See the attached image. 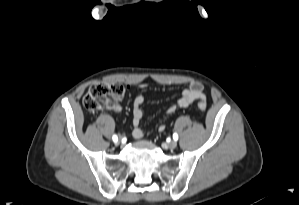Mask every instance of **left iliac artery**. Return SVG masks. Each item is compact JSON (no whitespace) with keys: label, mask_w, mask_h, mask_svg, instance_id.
<instances>
[{"label":"left iliac artery","mask_w":299,"mask_h":205,"mask_svg":"<svg viewBox=\"0 0 299 205\" xmlns=\"http://www.w3.org/2000/svg\"><path fill=\"white\" fill-rule=\"evenodd\" d=\"M173 139L176 140V141L178 140V134L177 133L173 134Z\"/></svg>","instance_id":"left-iliac-artery-1"}]
</instances>
